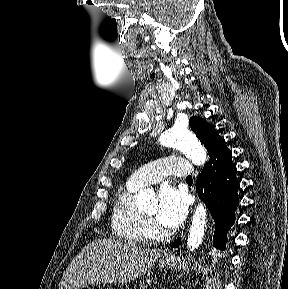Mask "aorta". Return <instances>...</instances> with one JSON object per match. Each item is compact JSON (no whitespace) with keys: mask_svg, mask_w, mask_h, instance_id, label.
Returning <instances> with one entry per match:
<instances>
[{"mask_svg":"<svg viewBox=\"0 0 288 289\" xmlns=\"http://www.w3.org/2000/svg\"><path fill=\"white\" fill-rule=\"evenodd\" d=\"M161 144L167 147L176 148L182 151L193 164L200 166L206 161V151L199 141L188 131L186 127L175 126L166 131L160 137ZM136 205L145 210H157L158 202L154 194L144 189L140 191ZM206 208L203 203H198L190 227L187 247L190 250L197 249L202 243L206 227Z\"/></svg>","mask_w":288,"mask_h":289,"instance_id":"762f6f07","label":"aorta"}]
</instances>
